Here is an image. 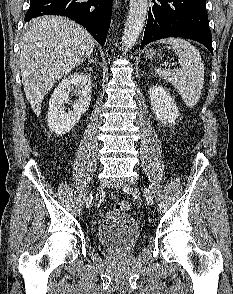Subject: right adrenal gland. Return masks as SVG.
Wrapping results in <instances>:
<instances>
[{
  "label": "right adrenal gland",
  "mask_w": 233,
  "mask_h": 294,
  "mask_svg": "<svg viewBox=\"0 0 233 294\" xmlns=\"http://www.w3.org/2000/svg\"><path fill=\"white\" fill-rule=\"evenodd\" d=\"M88 62H89V63L96 64V62L93 60V58H90Z\"/></svg>",
  "instance_id": "right-adrenal-gland-1"
}]
</instances>
